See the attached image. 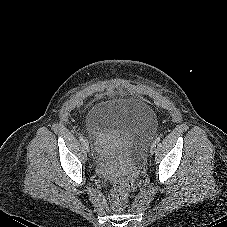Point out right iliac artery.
Here are the masks:
<instances>
[{
    "instance_id": "1",
    "label": "right iliac artery",
    "mask_w": 227,
    "mask_h": 227,
    "mask_svg": "<svg viewBox=\"0 0 227 227\" xmlns=\"http://www.w3.org/2000/svg\"><path fill=\"white\" fill-rule=\"evenodd\" d=\"M79 140H80V141H83V140H84V137H83V136H80V137H79Z\"/></svg>"
}]
</instances>
